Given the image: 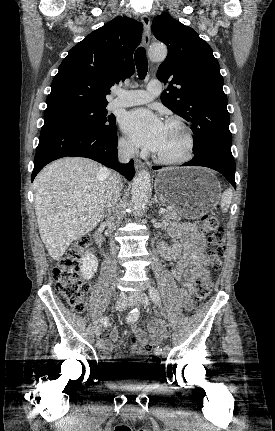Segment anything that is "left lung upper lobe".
Returning <instances> with one entry per match:
<instances>
[{
	"instance_id": "5c2ea615",
	"label": "left lung upper lobe",
	"mask_w": 275,
	"mask_h": 431,
	"mask_svg": "<svg viewBox=\"0 0 275 431\" xmlns=\"http://www.w3.org/2000/svg\"><path fill=\"white\" fill-rule=\"evenodd\" d=\"M152 31L168 47L157 71L160 81H170L161 101L191 124L195 153L208 147L231 146L227 96L211 47L192 28L167 13L154 18Z\"/></svg>"
}]
</instances>
